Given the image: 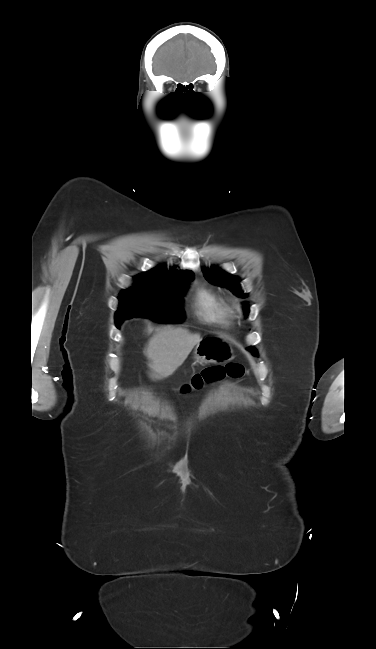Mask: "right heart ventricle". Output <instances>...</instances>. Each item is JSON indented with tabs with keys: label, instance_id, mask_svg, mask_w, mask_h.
I'll list each match as a JSON object with an SVG mask.
<instances>
[{
	"label": "right heart ventricle",
	"instance_id": "right-heart-ventricle-1",
	"mask_svg": "<svg viewBox=\"0 0 376 649\" xmlns=\"http://www.w3.org/2000/svg\"><path fill=\"white\" fill-rule=\"evenodd\" d=\"M194 309L198 317L210 323L228 325L232 311L225 299L215 290L198 287L194 295Z\"/></svg>",
	"mask_w": 376,
	"mask_h": 649
}]
</instances>
